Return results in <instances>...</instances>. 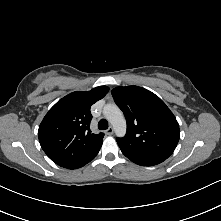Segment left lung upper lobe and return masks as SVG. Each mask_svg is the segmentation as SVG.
Returning <instances> with one entry per match:
<instances>
[{"instance_id": "1", "label": "left lung upper lobe", "mask_w": 221, "mask_h": 221, "mask_svg": "<svg viewBox=\"0 0 221 221\" xmlns=\"http://www.w3.org/2000/svg\"><path fill=\"white\" fill-rule=\"evenodd\" d=\"M111 93L127 120V133L117 138V143L169 157L178 144L180 131L166 104L154 93L138 86L116 87Z\"/></svg>"}]
</instances>
